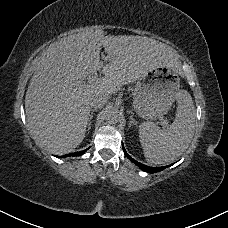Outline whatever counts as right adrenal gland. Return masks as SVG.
I'll return each mask as SVG.
<instances>
[{"mask_svg": "<svg viewBox=\"0 0 228 228\" xmlns=\"http://www.w3.org/2000/svg\"><path fill=\"white\" fill-rule=\"evenodd\" d=\"M93 113H94V110H92L91 113L89 114V121H88V125H87V130L91 129Z\"/></svg>", "mask_w": 228, "mask_h": 228, "instance_id": "2a0ac1e0", "label": "right adrenal gland"}]
</instances>
